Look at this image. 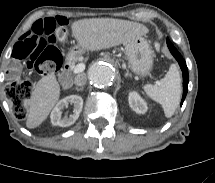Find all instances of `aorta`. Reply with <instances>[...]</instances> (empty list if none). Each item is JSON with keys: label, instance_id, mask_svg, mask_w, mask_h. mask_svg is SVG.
Segmentation results:
<instances>
[{"label": "aorta", "instance_id": "762f6f07", "mask_svg": "<svg viewBox=\"0 0 215 183\" xmlns=\"http://www.w3.org/2000/svg\"><path fill=\"white\" fill-rule=\"evenodd\" d=\"M88 78L95 87H107L115 78V68L105 61L95 62L88 71Z\"/></svg>", "mask_w": 215, "mask_h": 183}]
</instances>
